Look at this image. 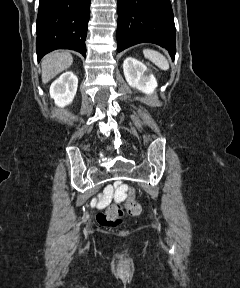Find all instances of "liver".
Listing matches in <instances>:
<instances>
[{"label": "liver", "instance_id": "obj_1", "mask_svg": "<svg viewBox=\"0 0 240 288\" xmlns=\"http://www.w3.org/2000/svg\"><path fill=\"white\" fill-rule=\"evenodd\" d=\"M73 63L72 55L67 52H51L42 60V82L48 83L56 75L67 70Z\"/></svg>", "mask_w": 240, "mask_h": 288}]
</instances>
